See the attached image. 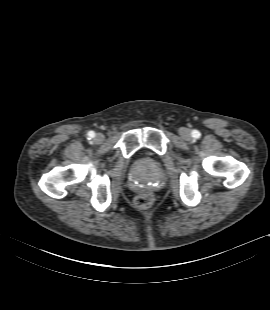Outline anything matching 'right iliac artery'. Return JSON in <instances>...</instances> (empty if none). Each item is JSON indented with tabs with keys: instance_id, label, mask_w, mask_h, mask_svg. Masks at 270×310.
I'll list each match as a JSON object with an SVG mask.
<instances>
[{
	"instance_id": "right-iliac-artery-1",
	"label": "right iliac artery",
	"mask_w": 270,
	"mask_h": 310,
	"mask_svg": "<svg viewBox=\"0 0 270 310\" xmlns=\"http://www.w3.org/2000/svg\"><path fill=\"white\" fill-rule=\"evenodd\" d=\"M94 136H95V133H94V132L90 131V132L88 133V138H89V139L93 138Z\"/></svg>"
}]
</instances>
